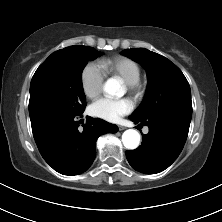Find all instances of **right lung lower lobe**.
Masks as SVG:
<instances>
[{
    "instance_id": "98d812e1",
    "label": "right lung lower lobe",
    "mask_w": 222,
    "mask_h": 222,
    "mask_svg": "<svg viewBox=\"0 0 222 222\" xmlns=\"http://www.w3.org/2000/svg\"><path fill=\"white\" fill-rule=\"evenodd\" d=\"M81 114L49 113L31 120L33 136L42 157L63 175L85 172L95 159L97 138L118 131L116 125L91 117H87L82 129L77 121Z\"/></svg>"
}]
</instances>
